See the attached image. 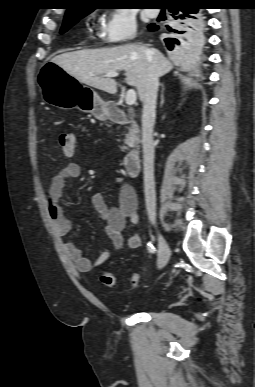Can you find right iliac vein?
<instances>
[{
    "label": "right iliac vein",
    "mask_w": 255,
    "mask_h": 387,
    "mask_svg": "<svg viewBox=\"0 0 255 387\" xmlns=\"http://www.w3.org/2000/svg\"><path fill=\"white\" fill-rule=\"evenodd\" d=\"M158 233V241H159V256L157 266L159 269H162L166 266L170 258V247L164 238V236L157 230Z\"/></svg>",
    "instance_id": "63e3f726"
}]
</instances>
